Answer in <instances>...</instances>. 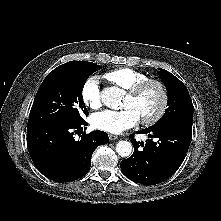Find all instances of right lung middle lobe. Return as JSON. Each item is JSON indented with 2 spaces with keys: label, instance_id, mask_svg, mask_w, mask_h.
Masks as SVG:
<instances>
[{
  "label": "right lung middle lobe",
  "instance_id": "1",
  "mask_svg": "<svg viewBox=\"0 0 221 221\" xmlns=\"http://www.w3.org/2000/svg\"><path fill=\"white\" fill-rule=\"evenodd\" d=\"M100 66L86 61H70L51 71L40 85L34 99L28 127L48 124H74L89 114L82 90L88 77Z\"/></svg>",
  "mask_w": 221,
  "mask_h": 221
}]
</instances>
